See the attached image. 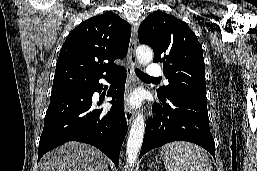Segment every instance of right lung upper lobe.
<instances>
[{"mask_svg": "<svg viewBox=\"0 0 257 171\" xmlns=\"http://www.w3.org/2000/svg\"><path fill=\"white\" fill-rule=\"evenodd\" d=\"M130 36V25L113 12L79 24L62 45L53 88L88 83L116 73L120 67L114 60L126 56Z\"/></svg>", "mask_w": 257, "mask_h": 171, "instance_id": "right-lung-upper-lobe-1", "label": "right lung upper lobe"}]
</instances>
